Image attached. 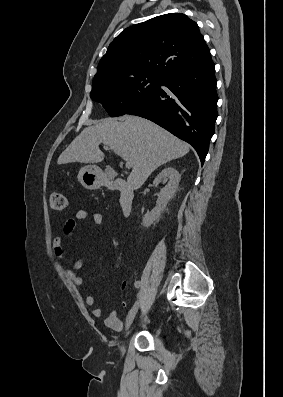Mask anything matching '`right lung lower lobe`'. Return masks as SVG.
Wrapping results in <instances>:
<instances>
[{"label":"right lung lower lobe","instance_id":"right-lung-lower-lobe-1","mask_svg":"<svg viewBox=\"0 0 283 397\" xmlns=\"http://www.w3.org/2000/svg\"><path fill=\"white\" fill-rule=\"evenodd\" d=\"M214 67L211 60L169 75L162 85L171 93L160 88L127 114L149 119L188 142L203 164L218 116Z\"/></svg>","mask_w":283,"mask_h":397}]
</instances>
